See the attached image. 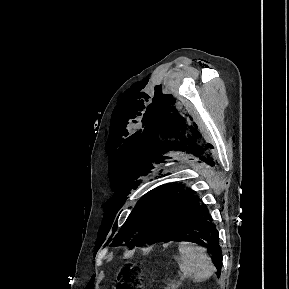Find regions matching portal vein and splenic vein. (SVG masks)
Wrapping results in <instances>:
<instances>
[{
    "instance_id": "18ae733b",
    "label": "portal vein and splenic vein",
    "mask_w": 289,
    "mask_h": 289,
    "mask_svg": "<svg viewBox=\"0 0 289 289\" xmlns=\"http://www.w3.org/2000/svg\"><path fill=\"white\" fill-rule=\"evenodd\" d=\"M182 280H184L183 277H180V278L178 279L179 282H181Z\"/></svg>"
}]
</instances>
